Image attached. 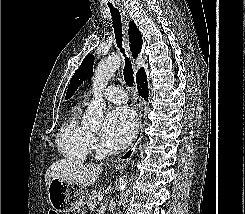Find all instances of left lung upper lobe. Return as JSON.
<instances>
[{"instance_id":"5c2ea615","label":"left lung upper lobe","mask_w":245,"mask_h":214,"mask_svg":"<svg viewBox=\"0 0 245 214\" xmlns=\"http://www.w3.org/2000/svg\"><path fill=\"white\" fill-rule=\"evenodd\" d=\"M93 64L94 56L92 54L87 55L84 58L79 69L74 73V76L71 78L65 99H69L73 95L75 90H77L78 86H80L85 79L92 76Z\"/></svg>"}]
</instances>
